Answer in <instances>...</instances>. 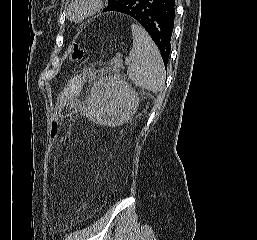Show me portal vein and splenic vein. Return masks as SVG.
I'll return each instance as SVG.
<instances>
[{
  "label": "portal vein and splenic vein",
  "instance_id": "obj_1",
  "mask_svg": "<svg viewBox=\"0 0 257 240\" xmlns=\"http://www.w3.org/2000/svg\"><path fill=\"white\" fill-rule=\"evenodd\" d=\"M126 63H129V60H128V59H126Z\"/></svg>",
  "mask_w": 257,
  "mask_h": 240
}]
</instances>
